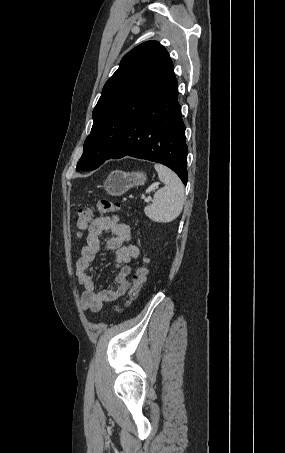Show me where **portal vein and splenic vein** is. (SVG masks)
I'll list each match as a JSON object with an SVG mask.
<instances>
[{"mask_svg": "<svg viewBox=\"0 0 285 453\" xmlns=\"http://www.w3.org/2000/svg\"><path fill=\"white\" fill-rule=\"evenodd\" d=\"M157 186H158V184L152 185L151 187H149V188L147 189L146 192H147V193H150L151 191H154L155 188H156ZM142 198H143V200H144L145 202H150V201H151L150 198H146L145 196H143Z\"/></svg>", "mask_w": 285, "mask_h": 453, "instance_id": "obj_1", "label": "portal vein and splenic vein"}]
</instances>
